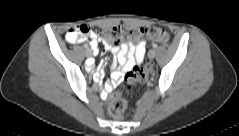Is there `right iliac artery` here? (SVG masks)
I'll return each instance as SVG.
<instances>
[{
    "label": "right iliac artery",
    "mask_w": 239,
    "mask_h": 136,
    "mask_svg": "<svg viewBox=\"0 0 239 136\" xmlns=\"http://www.w3.org/2000/svg\"><path fill=\"white\" fill-rule=\"evenodd\" d=\"M88 45L87 44H84V50H88Z\"/></svg>",
    "instance_id": "right-iliac-artery-1"
}]
</instances>
